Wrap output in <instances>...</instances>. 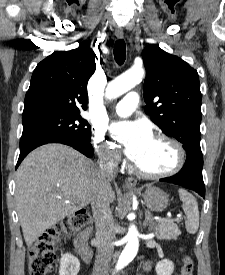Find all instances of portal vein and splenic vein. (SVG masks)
<instances>
[{"label":"portal vein and splenic vein","instance_id":"1","mask_svg":"<svg viewBox=\"0 0 225 275\" xmlns=\"http://www.w3.org/2000/svg\"><path fill=\"white\" fill-rule=\"evenodd\" d=\"M67 203H70V202L67 201ZM156 220H157V221H166L165 218H158V219H156Z\"/></svg>","mask_w":225,"mask_h":275}]
</instances>
